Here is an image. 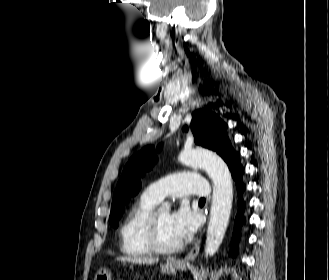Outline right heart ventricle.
Here are the masks:
<instances>
[{
    "label": "right heart ventricle",
    "instance_id": "obj_1",
    "mask_svg": "<svg viewBox=\"0 0 329 280\" xmlns=\"http://www.w3.org/2000/svg\"><path fill=\"white\" fill-rule=\"evenodd\" d=\"M159 201L143 193L130 208L120 227L121 250L132 257L149 255L152 251L144 235L145 222Z\"/></svg>",
    "mask_w": 329,
    "mask_h": 280
}]
</instances>
